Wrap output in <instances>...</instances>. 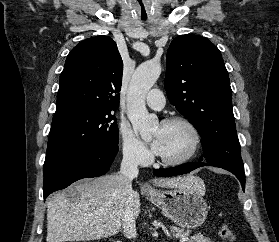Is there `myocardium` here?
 Returning a JSON list of instances; mask_svg holds the SVG:
<instances>
[{
	"instance_id": "obj_1",
	"label": "myocardium",
	"mask_w": 279,
	"mask_h": 242,
	"mask_svg": "<svg viewBox=\"0 0 279 242\" xmlns=\"http://www.w3.org/2000/svg\"><path fill=\"white\" fill-rule=\"evenodd\" d=\"M162 125H171V124H182L184 125L191 133L192 141L191 146L187 153L176 159H169L158 155L160 162L168 166H179L190 161L198 152L202 137L198 127L188 118L184 116H171L165 118L161 122Z\"/></svg>"
}]
</instances>
